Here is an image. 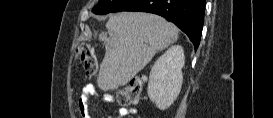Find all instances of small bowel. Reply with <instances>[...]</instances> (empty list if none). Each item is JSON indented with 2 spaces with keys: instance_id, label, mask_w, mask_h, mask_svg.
Wrapping results in <instances>:
<instances>
[{
  "instance_id": "c3829d8e",
  "label": "small bowel",
  "mask_w": 273,
  "mask_h": 118,
  "mask_svg": "<svg viewBox=\"0 0 273 118\" xmlns=\"http://www.w3.org/2000/svg\"><path fill=\"white\" fill-rule=\"evenodd\" d=\"M96 93L95 87L91 84H88L84 86L82 90V94L79 97L78 100V111L82 118H89V112H88V103L90 99L94 96ZM103 99L106 103H111L113 101V98L111 95L106 94L103 96ZM136 110L133 108H119L117 112L118 117H126L128 115L135 114Z\"/></svg>"
}]
</instances>
